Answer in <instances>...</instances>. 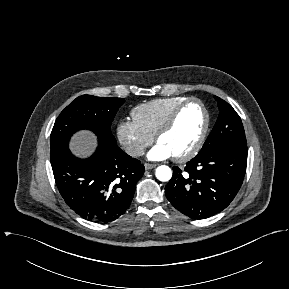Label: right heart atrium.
Returning <instances> with one entry per match:
<instances>
[{
  "label": "right heart atrium",
  "instance_id": "obj_1",
  "mask_svg": "<svg viewBox=\"0 0 289 289\" xmlns=\"http://www.w3.org/2000/svg\"><path fill=\"white\" fill-rule=\"evenodd\" d=\"M116 135L125 152L131 157L141 156L154 140V137L145 132L134 120H121L117 124Z\"/></svg>",
  "mask_w": 289,
  "mask_h": 289
}]
</instances>
